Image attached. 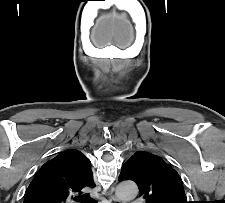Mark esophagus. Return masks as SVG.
<instances>
[{"instance_id": "obj_1", "label": "esophagus", "mask_w": 225, "mask_h": 203, "mask_svg": "<svg viewBox=\"0 0 225 203\" xmlns=\"http://www.w3.org/2000/svg\"><path fill=\"white\" fill-rule=\"evenodd\" d=\"M108 203H120V201L110 193L108 195Z\"/></svg>"}]
</instances>
